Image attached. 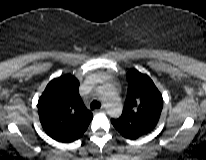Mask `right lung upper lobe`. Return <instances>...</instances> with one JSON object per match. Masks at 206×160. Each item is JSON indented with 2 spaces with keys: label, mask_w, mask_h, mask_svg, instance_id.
Wrapping results in <instances>:
<instances>
[{
  "label": "right lung upper lobe",
  "mask_w": 206,
  "mask_h": 160,
  "mask_svg": "<svg viewBox=\"0 0 206 160\" xmlns=\"http://www.w3.org/2000/svg\"><path fill=\"white\" fill-rule=\"evenodd\" d=\"M38 114L47 135L62 143L79 139L93 118L79 96V81L71 75L48 83L38 101Z\"/></svg>",
  "instance_id": "cb5924a9"
}]
</instances>
